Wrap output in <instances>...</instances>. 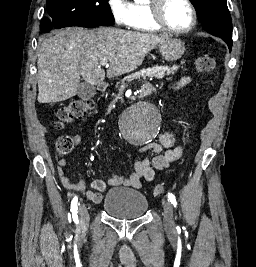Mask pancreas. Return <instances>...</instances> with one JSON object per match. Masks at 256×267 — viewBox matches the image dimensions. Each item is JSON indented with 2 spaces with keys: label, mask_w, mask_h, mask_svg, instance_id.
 I'll return each instance as SVG.
<instances>
[{
  "label": "pancreas",
  "mask_w": 256,
  "mask_h": 267,
  "mask_svg": "<svg viewBox=\"0 0 256 267\" xmlns=\"http://www.w3.org/2000/svg\"><path fill=\"white\" fill-rule=\"evenodd\" d=\"M181 64H185V62H181ZM180 66H172V68H168V66H155V68H147L145 76H142V78H164V76H169V74H175L176 70H178ZM135 78H141V74H132V76H129V78H124V80H121L122 86H120V90H124L126 88L127 84L126 82H131V80H135Z\"/></svg>",
  "instance_id": "1"
}]
</instances>
